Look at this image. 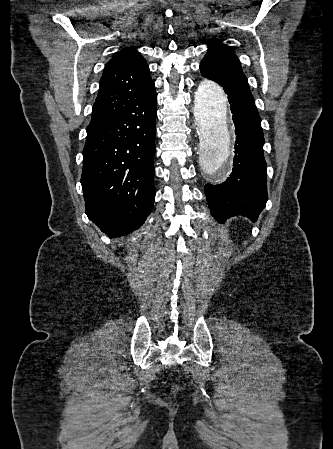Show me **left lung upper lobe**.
I'll return each mask as SVG.
<instances>
[{"label":"left lung upper lobe","instance_id":"obj_1","mask_svg":"<svg viewBox=\"0 0 333 449\" xmlns=\"http://www.w3.org/2000/svg\"><path fill=\"white\" fill-rule=\"evenodd\" d=\"M207 47V54L200 64L201 74L249 89L240 61L230 47L218 40L208 42Z\"/></svg>","mask_w":333,"mask_h":449}]
</instances>
